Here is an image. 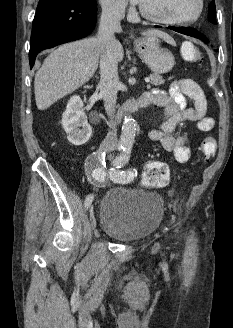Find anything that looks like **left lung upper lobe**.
<instances>
[{"label": "left lung upper lobe", "instance_id": "1", "mask_svg": "<svg viewBox=\"0 0 233 328\" xmlns=\"http://www.w3.org/2000/svg\"><path fill=\"white\" fill-rule=\"evenodd\" d=\"M215 11H216L215 3H214V1H212L209 5L208 18H209V21L213 24H217V22L215 20Z\"/></svg>", "mask_w": 233, "mask_h": 328}]
</instances>
